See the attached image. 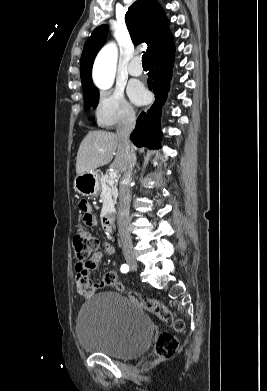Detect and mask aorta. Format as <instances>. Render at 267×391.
I'll use <instances>...</instances> for the list:
<instances>
[{
    "label": "aorta",
    "mask_w": 267,
    "mask_h": 391,
    "mask_svg": "<svg viewBox=\"0 0 267 391\" xmlns=\"http://www.w3.org/2000/svg\"><path fill=\"white\" fill-rule=\"evenodd\" d=\"M118 49L114 43L105 45L98 53L93 66V80L101 90L112 87L115 78Z\"/></svg>",
    "instance_id": "aorta-1"
}]
</instances>
